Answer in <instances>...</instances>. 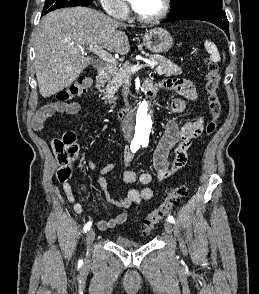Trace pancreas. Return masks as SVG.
<instances>
[{
    "label": "pancreas",
    "mask_w": 259,
    "mask_h": 294,
    "mask_svg": "<svg viewBox=\"0 0 259 294\" xmlns=\"http://www.w3.org/2000/svg\"><path fill=\"white\" fill-rule=\"evenodd\" d=\"M146 57H148L151 61L158 62V66L155 67V71L159 75H164L166 77H170L172 75H181L182 69L171 62L170 60L166 59L160 55H150L148 53H143ZM131 64L126 62L123 64L122 67L114 69L111 75L107 78L106 86L103 90L104 93L103 99L109 100V102H113L116 97L115 94L118 89L127 81L129 76L132 74L127 68L130 67Z\"/></svg>",
    "instance_id": "obj_1"
}]
</instances>
